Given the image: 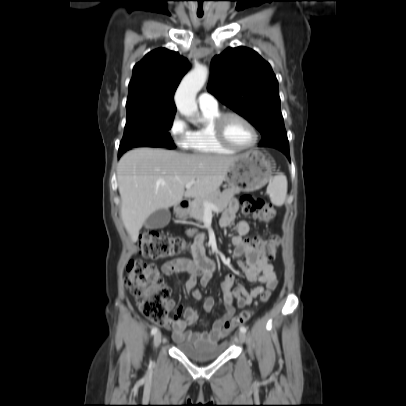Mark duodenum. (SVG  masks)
Segmentation results:
<instances>
[{
	"mask_svg": "<svg viewBox=\"0 0 406 406\" xmlns=\"http://www.w3.org/2000/svg\"><path fill=\"white\" fill-rule=\"evenodd\" d=\"M190 207V202L188 200H181L176 204V211L181 213L186 211Z\"/></svg>",
	"mask_w": 406,
	"mask_h": 406,
	"instance_id": "obj_1",
	"label": "duodenum"
}]
</instances>
